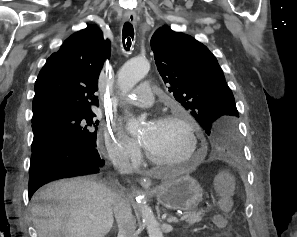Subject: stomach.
Returning a JSON list of instances; mask_svg holds the SVG:
<instances>
[{
	"instance_id": "stomach-1",
	"label": "stomach",
	"mask_w": 297,
	"mask_h": 237,
	"mask_svg": "<svg viewBox=\"0 0 297 237\" xmlns=\"http://www.w3.org/2000/svg\"><path fill=\"white\" fill-rule=\"evenodd\" d=\"M153 194L164 207L186 212L196 210L203 200L201 185L189 175L164 182L153 191Z\"/></svg>"
}]
</instances>
